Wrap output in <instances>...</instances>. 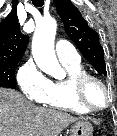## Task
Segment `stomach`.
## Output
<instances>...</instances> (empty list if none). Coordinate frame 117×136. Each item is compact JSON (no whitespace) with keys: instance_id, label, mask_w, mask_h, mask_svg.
I'll use <instances>...</instances> for the list:
<instances>
[{"instance_id":"obj_1","label":"stomach","mask_w":117,"mask_h":136,"mask_svg":"<svg viewBox=\"0 0 117 136\" xmlns=\"http://www.w3.org/2000/svg\"><path fill=\"white\" fill-rule=\"evenodd\" d=\"M70 136H92L93 127L88 121H76L70 130Z\"/></svg>"}]
</instances>
